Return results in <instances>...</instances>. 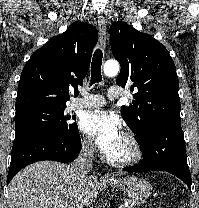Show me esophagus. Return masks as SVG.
Here are the masks:
<instances>
[{"instance_id": "obj_1", "label": "esophagus", "mask_w": 199, "mask_h": 208, "mask_svg": "<svg viewBox=\"0 0 199 208\" xmlns=\"http://www.w3.org/2000/svg\"><path fill=\"white\" fill-rule=\"evenodd\" d=\"M97 23H98V30H99V35H100V44L103 52L106 51L107 47V27H106V21L105 18L99 14L97 17ZM105 178L113 179L114 175L111 173H105L104 175Z\"/></svg>"}]
</instances>
